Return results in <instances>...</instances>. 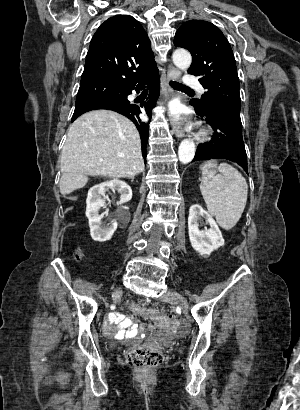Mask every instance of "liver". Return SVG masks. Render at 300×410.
I'll return each instance as SVG.
<instances>
[{"instance_id":"liver-1","label":"liver","mask_w":300,"mask_h":410,"mask_svg":"<svg viewBox=\"0 0 300 410\" xmlns=\"http://www.w3.org/2000/svg\"><path fill=\"white\" fill-rule=\"evenodd\" d=\"M60 169L62 195L83 188L88 176H135L144 170L139 132L129 119L116 112L85 113L69 128Z\"/></svg>"}]
</instances>
